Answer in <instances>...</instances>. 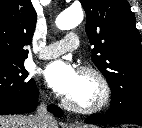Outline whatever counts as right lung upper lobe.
<instances>
[{
  "label": "right lung upper lobe",
  "instance_id": "right-lung-upper-lobe-1",
  "mask_svg": "<svg viewBox=\"0 0 142 128\" xmlns=\"http://www.w3.org/2000/svg\"><path fill=\"white\" fill-rule=\"evenodd\" d=\"M36 20L30 0H0V65L24 64Z\"/></svg>",
  "mask_w": 142,
  "mask_h": 128
}]
</instances>
